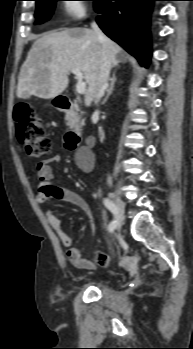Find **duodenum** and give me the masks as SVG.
<instances>
[{"mask_svg":"<svg viewBox=\"0 0 193 349\" xmlns=\"http://www.w3.org/2000/svg\"><path fill=\"white\" fill-rule=\"evenodd\" d=\"M56 106L61 112L68 116L71 125L64 137L65 146L69 151H76L80 145L82 133L75 124V102L66 97L59 96L56 98Z\"/></svg>","mask_w":193,"mask_h":349,"instance_id":"1","label":"duodenum"}]
</instances>
